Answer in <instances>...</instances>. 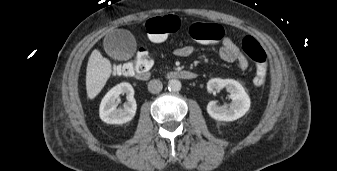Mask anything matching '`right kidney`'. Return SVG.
I'll return each instance as SVG.
<instances>
[{"instance_id":"ca27d5eb","label":"right kidney","mask_w":337,"mask_h":171,"mask_svg":"<svg viewBox=\"0 0 337 171\" xmlns=\"http://www.w3.org/2000/svg\"><path fill=\"white\" fill-rule=\"evenodd\" d=\"M121 94L127 95L124 108H117V99ZM137 104L134 99V89L131 84L123 82L107 92L101 101L99 115L103 122L109 124H123L135 116Z\"/></svg>"}]
</instances>
